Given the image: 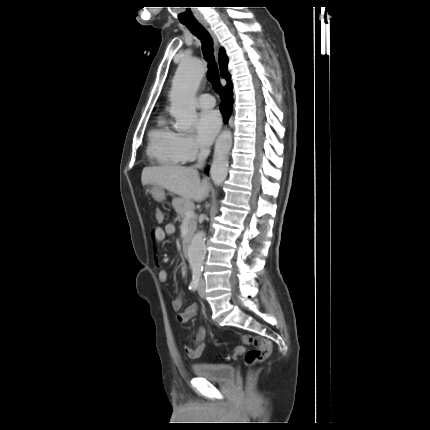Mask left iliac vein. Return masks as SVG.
Wrapping results in <instances>:
<instances>
[{
    "mask_svg": "<svg viewBox=\"0 0 430 430\" xmlns=\"http://www.w3.org/2000/svg\"><path fill=\"white\" fill-rule=\"evenodd\" d=\"M198 293H199L201 298H203V299L205 298V281H204V279H201L199 282Z\"/></svg>",
    "mask_w": 430,
    "mask_h": 430,
    "instance_id": "left-iliac-vein-1",
    "label": "left iliac vein"
}]
</instances>
